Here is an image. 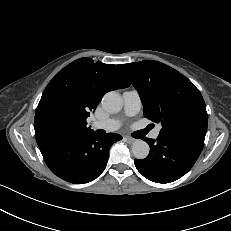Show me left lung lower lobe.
<instances>
[{"mask_svg":"<svg viewBox=\"0 0 231 231\" xmlns=\"http://www.w3.org/2000/svg\"><path fill=\"white\" fill-rule=\"evenodd\" d=\"M204 139V134L190 131L160 133L157 141L145 138L150 153L145 159H135V166L153 182H173L192 168L203 149Z\"/></svg>","mask_w":231,"mask_h":231,"instance_id":"0a47b994","label":"left lung lower lobe"}]
</instances>
